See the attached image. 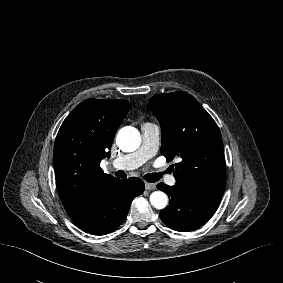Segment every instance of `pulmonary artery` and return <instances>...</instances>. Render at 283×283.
Returning a JSON list of instances; mask_svg holds the SVG:
<instances>
[{
    "instance_id": "1",
    "label": "pulmonary artery",
    "mask_w": 283,
    "mask_h": 283,
    "mask_svg": "<svg viewBox=\"0 0 283 283\" xmlns=\"http://www.w3.org/2000/svg\"><path fill=\"white\" fill-rule=\"evenodd\" d=\"M142 142L138 150L133 153L114 159L111 164L118 169H135L151 159L158 150L160 140V128L154 123H144L141 127ZM167 183L174 185L176 180L168 175Z\"/></svg>"
}]
</instances>
